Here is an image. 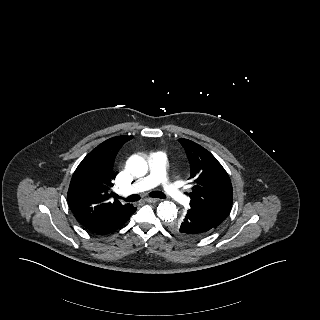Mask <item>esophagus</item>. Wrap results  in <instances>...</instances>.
Returning <instances> with one entry per match:
<instances>
[{"label": "esophagus", "instance_id": "1", "mask_svg": "<svg viewBox=\"0 0 320 320\" xmlns=\"http://www.w3.org/2000/svg\"><path fill=\"white\" fill-rule=\"evenodd\" d=\"M145 201L148 202V203H155V202L158 201V199L157 198L148 197V198L145 199Z\"/></svg>", "mask_w": 320, "mask_h": 320}]
</instances>
